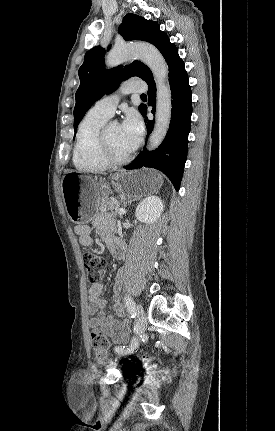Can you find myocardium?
Listing matches in <instances>:
<instances>
[{
    "label": "myocardium",
    "mask_w": 275,
    "mask_h": 431,
    "mask_svg": "<svg viewBox=\"0 0 275 431\" xmlns=\"http://www.w3.org/2000/svg\"><path fill=\"white\" fill-rule=\"evenodd\" d=\"M111 123L105 124L102 128L100 135H99V153L102 159L109 165V166H121L126 163H128L131 158L132 154L129 153L123 157L116 156L109 145L108 142V129Z\"/></svg>",
    "instance_id": "obj_1"
}]
</instances>
